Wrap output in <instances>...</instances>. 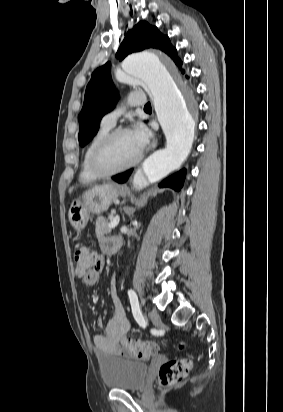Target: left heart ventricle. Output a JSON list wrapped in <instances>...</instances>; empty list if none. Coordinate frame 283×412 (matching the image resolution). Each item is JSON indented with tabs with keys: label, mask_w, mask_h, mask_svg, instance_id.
Masks as SVG:
<instances>
[{
	"label": "left heart ventricle",
	"mask_w": 283,
	"mask_h": 412,
	"mask_svg": "<svg viewBox=\"0 0 283 412\" xmlns=\"http://www.w3.org/2000/svg\"><path fill=\"white\" fill-rule=\"evenodd\" d=\"M130 132L117 136L101 158V164L107 169L124 166L133 161L140 153Z\"/></svg>",
	"instance_id": "obj_1"
}]
</instances>
